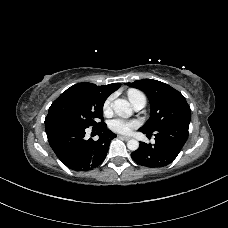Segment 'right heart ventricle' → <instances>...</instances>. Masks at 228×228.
Returning a JSON list of instances; mask_svg holds the SVG:
<instances>
[{
    "label": "right heart ventricle",
    "mask_w": 228,
    "mask_h": 228,
    "mask_svg": "<svg viewBox=\"0 0 228 228\" xmlns=\"http://www.w3.org/2000/svg\"><path fill=\"white\" fill-rule=\"evenodd\" d=\"M135 93H140V92L137 91V90H134V89L129 90V91H128V97H129L130 95H132V94H135Z\"/></svg>",
    "instance_id": "1"
}]
</instances>
